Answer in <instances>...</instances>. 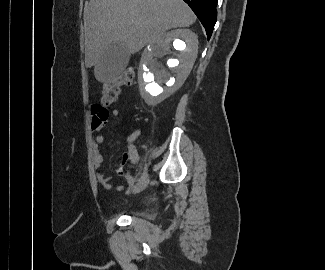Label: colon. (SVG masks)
I'll use <instances>...</instances> for the list:
<instances>
[{
	"instance_id": "obj_1",
	"label": "colon",
	"mask_w": 325,
	"mask_h": 270,
	"mask_svg": "<svg viewBox=\"0 0 325 270\" xmlns=\"http://www.w3.org/2000/svg\"><path fill=\"white\" fill-rule=\"evenodd\" d=\"M134 77L135 69L129 67L118 77L106 81L103 85L102 103L104 105L114 103L118 99L122 87L130 85L133 82Z\"/></svg>"
}]
</instances>
